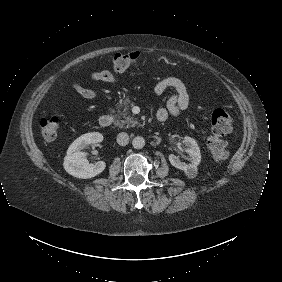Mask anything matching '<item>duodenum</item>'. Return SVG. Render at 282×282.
<instances>
[{
    "mask_svg": "<svg viewBox=\"0 0 282 282\" xmlns=\"http://www.w3.org/2000/svg\"><path fill=\"white\" fill-rule=\"evenodd\" d=\"M113 122V116L111 114H103L99 119V124L101 127L107 128Z\"/></svg>",
    "mask_w": 282,
    "mask_h": 282,
    "instance_id": "obj_1",
    "label": "duodenum"
}]
</instances>
